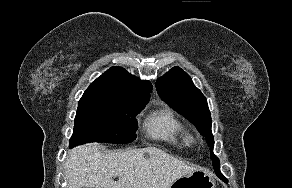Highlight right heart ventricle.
<instances>
[{
	"label": "right heart ventricle",
	"mask_w": 292,
	"mask_h": 188,
	"mask_svg": "<svg viewBox=\"0 0 292 188\" xmlns=\"http://www.w3.org/2000/svg\"><path fill=\"white\" fill-rule=\"evenodd\" d=\"M146 127L152 137L164 140L178 148H188L194 143L190 131L169 109L152 113L147 118Z\"/></svg>",
	"instance_id": "e07e8e85"
}]
</instances>
